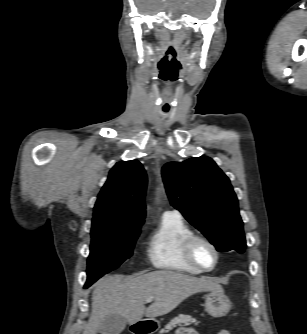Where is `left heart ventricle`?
<instances>
[{
    "instance_id": "b2bd125f",
    "label": "left heart ventricle",
    "mask_w": 307,
    "mask_h": 334,
    "mask_svg": "<svg viewBox=\"0 0 307 334\" xmlns=\"http://www.w3.org/2000/svg\"><path fill=\"white\" fill-rule=\"evenodd\" d=\"M194 253L197 261L203 267L209 268L213 265L215 261V255L208 245L202 242L196 243Z\"/></svg>"
}]
</instances>
